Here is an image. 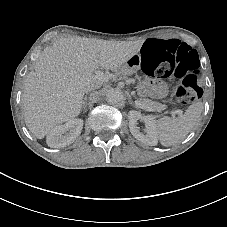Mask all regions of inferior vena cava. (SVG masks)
I'll return each mask as SVG.
<instances>
[{
    "label": "inferior vena cava",
    "instance_id": "obj_1",
    "mask_svg": "<svg viewBox=\"0 0 227 227\" xmlns=\"http://www.w3.org/2000/svg\"><path fill=\"white\" fill-rule=\"evenodd\" d=\"M101 84H90L86 87V92L100 88Z\"/></svg>",
    "mask_w": 227,
    "mask_h": 227
}]
</instances>
